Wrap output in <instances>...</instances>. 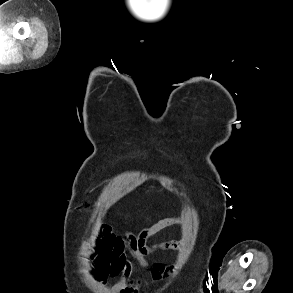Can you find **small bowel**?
Segmentation results:
<instances>
[{
  "label": "small bowel",
  "mask_w": 293,
  "mask_h": 293,
  "mask_svg": "<svg viewBox=\"0 0 293 293\" xmlns=\"http://www.w3.org/2000/svg\"><path fill=\"white\" fill-rule=\"evenodd\" d=\"M177 219H165L137 233L126 232L122 235L112 234L108 228H103L98 236L90 241V255L87 266L98 282H103L109 276H120L117 288L121 293H130L141 286L140 279H132V269L125 252V241L128 242L140 265L149 268L151 276L156 281L169 277L173 267L157 262L152 265L146 256L158 251L180 250L181 244L175 240L163 241L149 246L148 239L159 231L177 224Z\"/></svg>",
  "instance_id": "obj_1"
}]
</instances>
